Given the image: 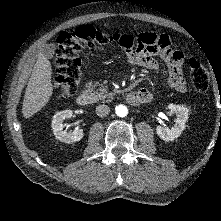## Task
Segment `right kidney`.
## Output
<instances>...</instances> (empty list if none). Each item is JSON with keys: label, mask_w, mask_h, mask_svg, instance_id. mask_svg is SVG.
Listing matches in <instances>:
<instances>
[{"label": "right kidney", "mask_w": 221, "mask_h": 221, "mask_svg": "<svg viewBox=\"0 0 221 221\" xmlns=\"http://www.w3.org/2000/svg\"><path fill=\"white\" fill-rule=\"evenodd\" d=\"M72 114L73 113L71 110H64L57 112L53 116L52 120L53 134L55 135L56 139L60 140L61 142L71 143V142L80 141L84 136V132L82 129H75L69 132L63 130L64 128L63 120L66 118H71Z\"/></svg>", "instance_id": "obj_1"}]
</instances>
